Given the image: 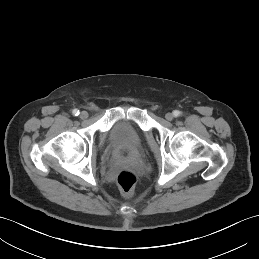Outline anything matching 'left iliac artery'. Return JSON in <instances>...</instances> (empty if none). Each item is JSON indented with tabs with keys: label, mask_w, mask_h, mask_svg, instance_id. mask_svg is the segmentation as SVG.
I'll list each match as a JSON object with an SVG mask.
<instances>
[{
	"label": "left iliac artery",
	"mask_w": 259,
	"mask_h": 259,
	"mask_svg": "<svg viewBox=\"0 0 259 259\" xmlns=\"http://www.w3.org/2000/svg\"><path fill=\"white\" fill-rule=\"evenodd\" d=\"M180 114H181V112L178 111V110L173 111V115H174L175 117H178Z\"/></svg>",
	"instance_id": "obj_1"
}]
</instances>
